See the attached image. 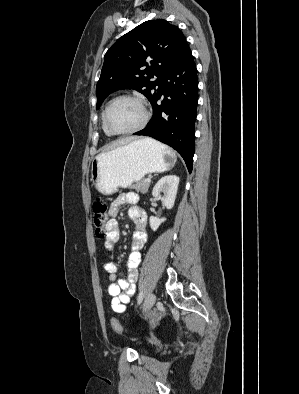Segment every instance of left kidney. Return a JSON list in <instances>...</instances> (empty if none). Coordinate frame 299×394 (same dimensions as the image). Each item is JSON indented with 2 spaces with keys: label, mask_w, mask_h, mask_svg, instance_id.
Wrapping results in <instances>:
<instances>
[{
  "label": "left kidney",
  "mask_w": 299,
  "mask_h": 394,
  "mask_svg": "<svg viewBox=\"0 0 299 394\" xmlns=\"http://www.w3.org/2000/svg\"><path fill=\"white\" fill-rule=\"evenodd\" d=\"M179 180V177L176 175H167L162 177L153 188V197L160 198L167 209H172L174 206ZM161 193H163V196H161ZM165 220L166 218L151 216L149 219L151 229L156 231Z\"/></svg>",
  "instance_id": "1"
}]
</instances>
